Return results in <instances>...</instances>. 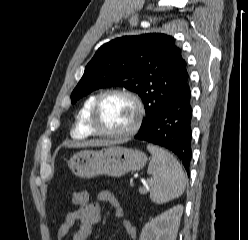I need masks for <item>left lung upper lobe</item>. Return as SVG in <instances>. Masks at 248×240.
Instances as JSON below:
<instances>
[{"instance_id": "5c2ea615", "label": "left lung upper lobe", "mask_w": 248, "mask_h": 240, "mask_svg": "<svg viewBox=\"0 0 248 240\" xmlns=\"http://www.w3.org/2000/svg\"><path fill=\"white\" fill-rule=\"evenodd\" d=\"M187 63L172 36L150 33L124 36L102 45L85 67L71 94L79 98L102 87L119 86L136 92L146 117L144 129L162 107L189 87Z\"/></svg>"}]
</instances>
